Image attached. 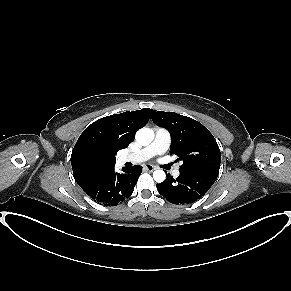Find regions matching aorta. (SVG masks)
I'll use <instances>...</instances> for the list:
<instances>
[{
    "instance_id": "762f6f07",
    "label": "aorta",
    "mask_w": 291,
    "mask_h": 291,
    "mask_svg": "<svg viewBox=\"0 0 291 291\" xmlns=\"http://www.w3.org/2000/svg\"><path fill=\"white\" fill-rule=\"evenodd\" d=\"M136 140L139 144L147 146L152 141V132L148 128H141L136 133ZM153 178L156 182L161 183L165 180L166 175L163 170H156L153 172Z\"/></svg>"
}]
</instances>
